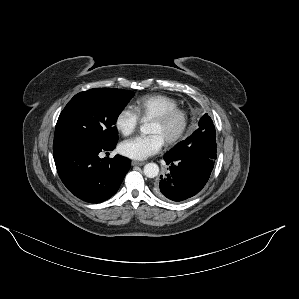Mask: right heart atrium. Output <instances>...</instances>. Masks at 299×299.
<instances>
[{
    "instance_id": "right-heart-atrium-1",
    "label": "right heart atrium",
    "mask_w": 299,
    "mask_h": 299,
    "mask_svg": "<svg viewBox=\"0 0 299 299\" xmlns=\"http://www.w3.org/2000/svg\"><path fill=\"white\" fill-rule=\"evenodd\" d=\"M139 124V117L134 110L125 106L119 110L114 119V127L116 131L123 135H131Z\"/></svg>"
}]
</instances>
